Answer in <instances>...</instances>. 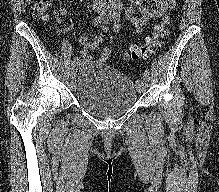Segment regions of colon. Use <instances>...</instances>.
<instances>
[{"label": "colon", "mask_w": 219, "mask_h": 192, "mask_svg": "<svg viewBox=\"0 0 219 192\" xmlns=\"http://www.w3.org/2000/svg\"><path fill=\"white\" fill-rule=\"evenodd\" d=\"M31 7L34 17L44 19L47 17L50 3L49 0H32ZM173 24L174 19L172 15L163 17L149 38L145 39L142 43H136L130 47L126 58L128 60H137L141 57H145L153 48L160 46L173 27ZM102 54L104 58L107 59L112 55V50L104 49Z\"/></svg>", "instance_id": "obj_1"}]
</instances>
